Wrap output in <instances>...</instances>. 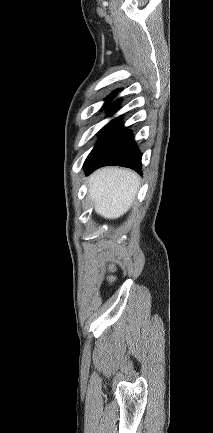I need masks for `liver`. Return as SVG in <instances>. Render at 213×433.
Returning a JSON list of instances; mask_svg holds the SVG:
<instances>
[{
	"mask_svg": "<svg viewBox=\"0 0 213 433\" xmlns=\"http://www.w3.org/2000/svg\"><path fill=\"white\" fill-rule=\"evenodd\" d=\"M140 177L134 171L104 167L88 179V195L95 212L107 219H116L133 205Z\"/></svg>",
	"mask_w": 213,
	"mask_h": 433,
	"instance_id": "6515ba94",
	"label": "liver"
}]
</instances>
